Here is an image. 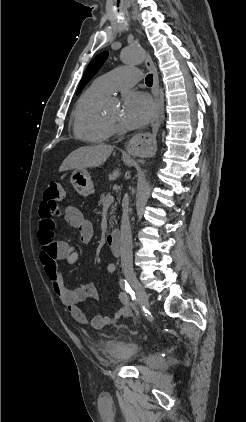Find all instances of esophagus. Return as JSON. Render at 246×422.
<instances>
[{"mask_svg": "<svg viewBox=\"0 0 246 422\" xmlns=\"http://www.w3.org/2000/svg\"><path fill=\"white\" fill-rule=\"evenodd\" d=\"M145 65L149 71L153 74V87L152 93L155 101V112L151 121V132L139 134L134 136L128 146L127 152L132 155L146 156L155 153L156 151V135L160 127V98H159V77L157 69L153 63L150 54H147L145 59Z\"/></svg>", "mask_w": 246, "mask_h": 422, "instance_id": "1", "label": "esophagus"}]
</instances>
